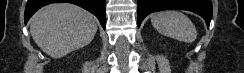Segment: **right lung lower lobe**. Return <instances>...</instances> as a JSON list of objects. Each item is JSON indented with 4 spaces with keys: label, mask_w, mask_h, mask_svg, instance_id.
I'll use <instances>...</instances> for the list:
<instances>
[{
    "label": "right lung lower lobe",
    "mask_w": 244,
    "mask_h": 73,
    "mask_svg": "<svg viewBox=\"0 0 244 73\" xmlns=\"http://www.w3.org/2000/svg\"><path fill=\"white\" fill-rule=\"evenodd\" d=\"M73 3L93 13L100 21L101 26H106L105 0H28L25 8V24L30 17L41 7L50 3Z\"/></svg>",
    "instance_id": "1"
}]
</instances>
